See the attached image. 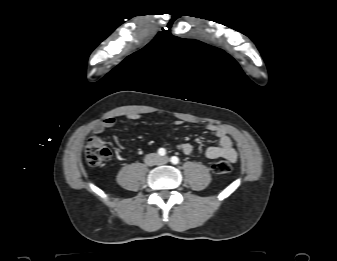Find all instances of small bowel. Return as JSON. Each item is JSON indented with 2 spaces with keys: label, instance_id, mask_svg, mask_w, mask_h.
<instances>
[{
  "label": "small bowel",
  "instance_id": "1",
  "mask_svg": "<svg viewBox=\"0 0 337 261\" xmlns=\"http://www.w3.org/2000/svg\"><path fill=\"white\" fill-rule=\"evenodd\" d=\"M125 117L128 121H135L141 118L138 113H129ZM115 123L116 119L114 117H108L96 125L95 132L97 134H101L106 129L113 127ZM181 123V120L176 121V124L178 125ZM206 129L213 132L218 138L217 145L210 146L206 149V156L209 159L225 158L230 162H235L237 160V152L228 132L224 128L215 124L206 125ZM177 148L187 155L193 152V146L190 143H179Z\"/></svg>",
  "mask_w": 337,
  "mask_h": 261
}]
</instances>
